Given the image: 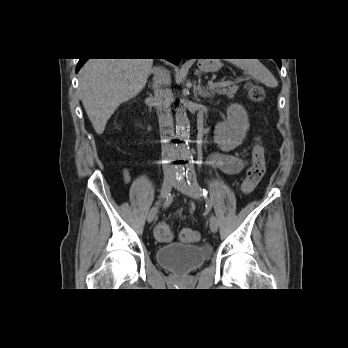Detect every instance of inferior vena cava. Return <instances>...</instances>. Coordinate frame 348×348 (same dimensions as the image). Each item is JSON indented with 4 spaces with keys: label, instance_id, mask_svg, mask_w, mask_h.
Wrapping results in <instances>:
<instances>
[{
    "label": "inferior vena cava",
    "instance_id": "602c4592",
    "mask_svg": "<svg viewBox=\"0 0 348 348\" xmlns=\"http://www.w3.org/2000/svg\"><path fill=\"white\" fill-rule=\"evenodd\" d=\"M152 72L154 73L153 100L157 108L160 127L162 159L171 162L176 156V148L171 142L174 138L173 117L171 113V103L173 102L171 77L169 71L161 67H155Z\"/></svg>",
    "mask_w": 348,
    "mask_h": 348
}]
</instances>
